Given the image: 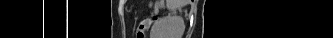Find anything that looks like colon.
Instances as JSON below:
<instances>
[{
    "instance_id": "5ec220e1",
    "label": "colon",
    "mask_w": 333,
    "mask_h": 38,
    "mask_svg": "<svg viewBox=\"0 0 333 38\" xmlns=\"http://www.w3.org/2000/svg\"><path fill=\"white\" fill-rule=\"evenodd\" d=\"M154 18H152L151 20H142L139 23V26L137 28V32H136V38H145V34L149 28V25L151 23V21H153Z\"/></svg>"
}]
</instances>
